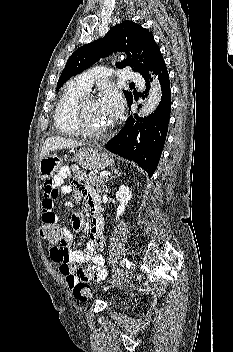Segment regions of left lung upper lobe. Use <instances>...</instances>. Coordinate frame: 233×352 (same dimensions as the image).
<instances>
[{
    "label": "left lung upper lobe",
    "mask_w": 233,
    "mask_h": 352,
    "mask_svg": "<svg viewBox=\"0 0 233 352\" xmlns=\"http://www.w3.org/2000/svg\"><path fill=\"white\" fill-rule=\"evenodd\" d=\"M117 51L126 52L127 58L122 62H117L116 67L130 66L143 78L150 76L149 71L155 72L163 61L160 48L152 33L137 23L123 21L113 26L103 38L83 45L69 57L58 80L57 90L71 76L81 73L100 58ZM124 95L127 102L133 99L131 92L124 91Z\"/></svg>",
    "instance_id": "obj_1"
}]
</instances>
